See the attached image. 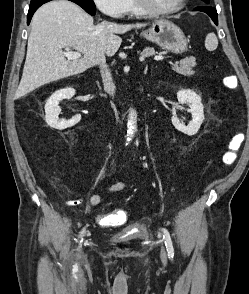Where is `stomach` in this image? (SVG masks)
<instances>
[{
	"label": "stomach",
	"instance_id": "0dacf381",
	"mask_svg": "<svg viewBox=\"0 0 249 294\" xmlns=\"http://www.w3.org/2000/svg\"><path fill=\"white\" fill-rule=\"evenodd\" d=\"M141 35L173 53H183L188 48V42L183 31L168 20L156 21L149 29L142 31Z\"/></svg>",
	"mask_w": 249,
	"mask_h": 294
}]
</instances>
